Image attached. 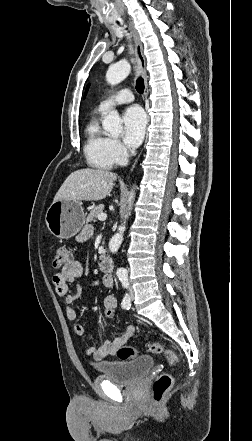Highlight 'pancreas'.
Returning a JSON list of instances; mask_svg holds the SVG:
<instances>
[{"label":"pancreas","mask_w":252,"mask_h":441,"mask_svg":"<svg viewBox=\"0 0 252 441\" xmlns=\"http://www.w3.org/2000/svg\"><path fill=\"white\" fill-rule=\"evenodd\" d=\"M104 210V206L103 205H99L96 206L93 210L90 211V214L87 217V221H96V219L98 218V215L103 213Z\"/></svg>","instance_id":"pancreas-1"}]
</instances>
